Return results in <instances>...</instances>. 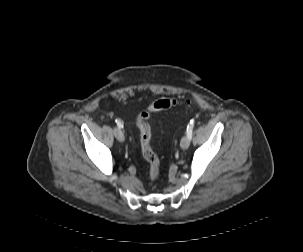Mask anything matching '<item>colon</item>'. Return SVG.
<instances>
[{
  "label": "colon",
  "instance_id": "colon-1",
  "mask_svg": "<svg viewBox=\"0 0 303 252\" xmlns=\"http://www.w3.org/2000/svg\"><path fill=\"white\" fill-rule=\"evenodd\" d=\"M181 103L177 98H164L153 102L145 111L141 112L137 117V126L140 134V147L144 158L149 163V173L151 179H156L160 173V161L156 154L152 151L151 128L148 123L150 116L158 111L170 108L171 106ZM190 105V102H187Z\"/></svg>",
  "mask_w": 303,
  "mask_h": 252
}]
</instances>
